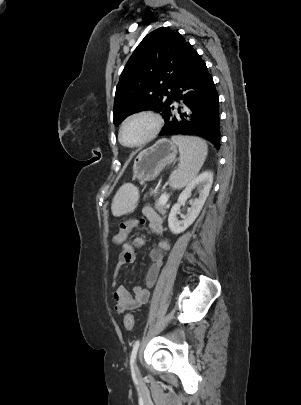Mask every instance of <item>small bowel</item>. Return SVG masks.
<instances>
[{"label": "small bowel", "instance_id": "c3829d8e", "mask_svg": "<svg viewBox=\"0 0 301 405\" xmlns=\"http://www.w3.org/2000/svg\"><path fill=\"white\" fill-rule=\"evenodd\" d=\"M143 215L148 220V226L151 231L163 237L164 227L162 225L161 216L151 207L144 206L142 209ZM145 245V239L142 237H135L131 242L126 241L121 249L118 259V267L124 264H130L136 260V249L143 247ZM170 248L169 242L162 238L157 247L151 249L150 258L151 266L149 267L146 277L144 287L134 286L133 293L131 294L124 286H117L116 281L112 282L113 299L115 302V311L118 314H122L127 310L135 309L143 304H145L150 297V288L155 284L159 273L163 265V257L165 252Z\"/></svg>", "mask_w": 301, "mask_h": 405}]
</instances>
